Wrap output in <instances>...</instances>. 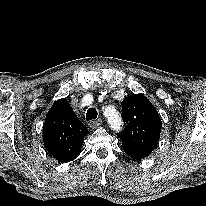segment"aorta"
<instances>
[{"instance_id":"762f6f07","label":"aorta","mask_w":206,"mask_h":206,"mask_svg":"<svg viewBox=\"0 0 206 206\" xmlns=\"http://www.w3.org/2000/svg\"><path fill=\"white\" fill-rule=\"evenodd\" d=\"M108 121L113 129L120 130L122 128L121 126L123 125V122L118 112L111 115Z\"/></svg>"}]
</instances>
